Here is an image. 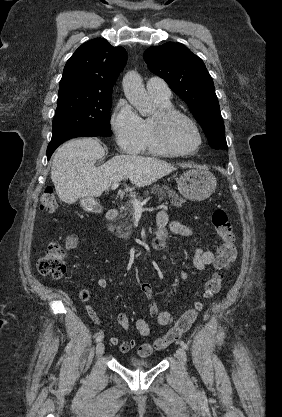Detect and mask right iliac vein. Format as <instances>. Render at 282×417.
<instances>
[{"instance_id":"right-iliac-vein-1","label":"right iliac vein","mask_w":282,"mask_h":417,"mask_svg":"<svg viewBox=\"0 0 282 417\" xmlns=\"http://www.w3.org/2000/svg\"><path fill=\"white\" fill-rule=\"evenodd\" d=\"M105 350L104 344L102 342H99L96 346V355L97 357H100L103 355Z\"/></svg>"}]
</instances>
